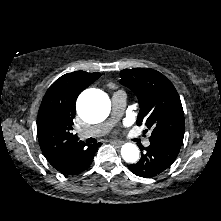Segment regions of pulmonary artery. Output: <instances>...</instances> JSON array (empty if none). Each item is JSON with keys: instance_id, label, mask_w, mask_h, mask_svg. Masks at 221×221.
<instances>
[{"instance_id": "1", "label": "pulmonary artery", "mask_w": 221, "mask_h": 221, "mask_svg": "<svg viewBox=\"0 0 221 221\" xmlns=\"http://www.w3.org/2000/svg\"><path fill=\"white\" fill-rule=\"evenodd\" d=\"M126 93L119 90L116 91L111 98L112 102V117L101 124H97L94 126H90L86 128L85 130H82L79 132V136L82 138H88V137H101L105 135L117 122V120L123 115L125 107H126ZM150 144L149 140L144 141V145L148 146Z\"/></svg>"}]
</instances>
